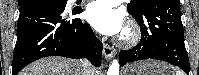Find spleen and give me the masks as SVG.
I'll list each match as a JSON object with an SVG mask.
<instances>
[{
  "label": "spleen",
  "mask_w": 199,
  "mask_h": 75,
  "mask_svg": "<svg viewBox=\"0 0 199 75\" xmlns=\"http://www.w3.org/2000/svg\"><path fill=\"white\" fill-rule=\"evenodd\" d=\"M176 75H182V73H180L179 71H176Z\"/></svg>",
  "instance_id": "1"
}]
</instances>
